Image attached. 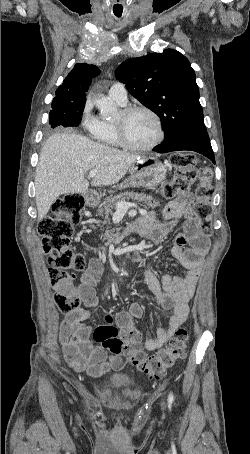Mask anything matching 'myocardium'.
<instances>
[{"instance_id": "f54148a6", "label": "myocardium", "mask_w": 250, "mask_h": 454, "mask_svg": "<svg viewBox=\"0 0 250 454\" xmlns=\"http://www.w3.org/2000/svg\"><path fill=\"white\" fill-rule=\"evenodd\" d=\"M146 112L150 116L153 117L156 127H157V137L148 145L146 146H136L132 144L128 138L127 131H126V119L129 117L131 114L135 112ZM114 125L116 129V133L119 139L120 144L131 150V151H136V152H147L155 149L161 142L164 140L165 137V132H164V127L162 120L160 116L151 108L144 106V105H132V106H127L122 108L119 111L118 116L114 120Z\"/></svg>"}]
</instances>
